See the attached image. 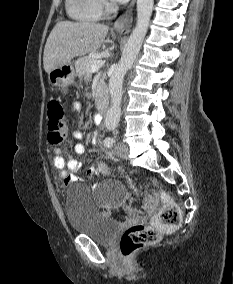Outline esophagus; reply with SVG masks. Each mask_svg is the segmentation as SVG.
I'll use <instances>...</instances> for the list:
<instances>
[{
  "label": "esophagus",
  "instance_id": "34e87169",
  "mask_svg": "<svg viewBox=\"0 0 233 284\" xmlns=\"http://www.w3.org/2000/svg\"><path fill=\"white\" fill-rule=\"evenodd\" d=\"M135 0H132L128 9L115 21L113 29L119 33H128L133 20L132 10Z\"/></svg>",
  "mask_w": 233,
  "mask_h": 284
}]
</instances>
